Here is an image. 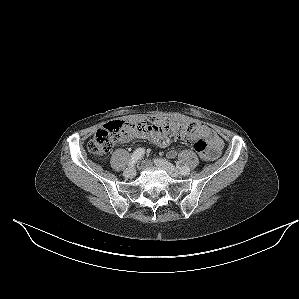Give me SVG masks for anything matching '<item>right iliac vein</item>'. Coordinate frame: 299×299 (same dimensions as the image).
Here are the masks:
<instances>
[{"label": "right iliac vein", "instance_id": "1", "mask_svg": "<svg viewBox=\"0 0 299 299\" xmlns=\"http://www.w3.org/2000/svg\"><path fill=\"white\" fill-rule=\"evenodd\" d=\"M136 175V170L133 167L127 168L124 171V176L127 178H133Z\"/></svg>", "mask_w": 299, "mask_h": 299}]
</instances>
